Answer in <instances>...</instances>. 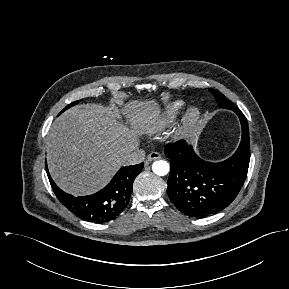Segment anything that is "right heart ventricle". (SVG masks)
Instances as JSON below:
<instances>
[{"instance_id": "e07e8e85", "label": "right heart ventricle", "mask_w": 289, "mask_h": 289, "mask_svg": "<svg viewBox=\"0 0 289 289\" xmlns=\"http://www.w3.org/2000/svg\"><path fill=\"white\" fill-rule=\"evenodd\" d=\"M182 105L183 103L180 101L170 103L161 116L160 126L165 127L169 125L180 112Z\"/></svg>"}]
</instances>
